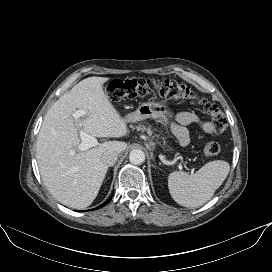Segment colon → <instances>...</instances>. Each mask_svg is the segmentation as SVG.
<instances>
[{
  "mask_svg": "<svg viewBox=\"0 0 272 272\" xmlns=\"http://www.w3.org/2000/svg\"><path fill=\"white\" fill-rule=\"evenodd\" d=\"M149 94H156L174 100H198L196 94L188 86L171 79H117L111 81L107 86V95L113 101L145 97ZM199 102L203 106L205 113L211 118L215 131H224L227 127V119L223 111L215 104L203 100H199ZM220 150L218 143L209 142L204 148V153L208 157H215L220 153Z\"/></svg>",
  "mask_w": 272,
  "mask_h": 272,
  "instance_id": "colon-1",
  "label": "colon"
}]
</instances>
